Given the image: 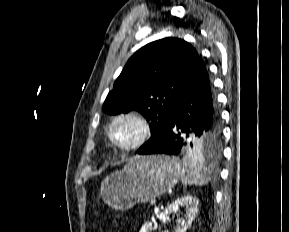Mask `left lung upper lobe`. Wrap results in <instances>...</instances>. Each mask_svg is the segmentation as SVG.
<instances>
[{"label": "left lung upper lobe", "mask_w": 289, "mask_h": 232, "mask_svg": "<svg viewBox=\"0 0 289 232\" xmlns=\"http://www.w3.org/2000/svg\"><path fill=\"white\" fill-rule=\"evenodd\" d=\"M204 68L197 51L182 39L151 42L128 60L106 97L103 110L109 114L137 110L151 121V138L141 150L166 130L183 93ZM220 139L221 127L216 137L192 143L191 150L219 153Z\"/></svg>", "instance_id": "obj_1"}]
</instances>
